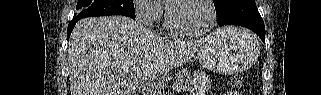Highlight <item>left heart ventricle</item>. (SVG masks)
I'll use <instances>...</instances> for the list:
<instances>
[{"instance_id": "left-heart-ventricle-1", "label": "left heart ventricle", "mask_w": 321, "mask_h": 95, "mask_svg": "<svg viewBox=\"0 0 321 95\" xmlns=\"http://www.w3.org/2000/svg\"><path fill=\"white\" fill-rule=\"evenodd\" d=\"M172 19L180 29L198 31L206 27L210 20V10L202 0H190L175 5Z\"/></svg>"}]
</instances>
